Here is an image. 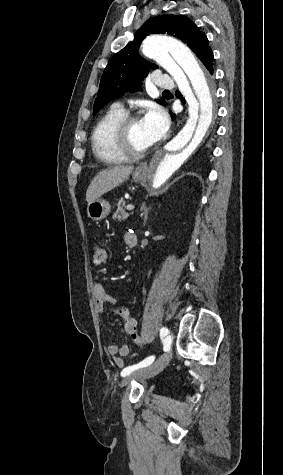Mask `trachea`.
I'll return each mask as SVG.
<instances>
[{"mask_svg":"<svg viewBox=\"0 0 283 475\" xmlns=\"http://www.w3.org/2000/svg\"><path fill=\"white\" fill-rule=\"evenodd\" d=\"M163 93H164V94H167V95H172V94L169 92V90H164Z\"/></svg>","mask_w":283,"mask_h":475,"instance_id":"obj_1","label":"trachea"}]
</instances>
